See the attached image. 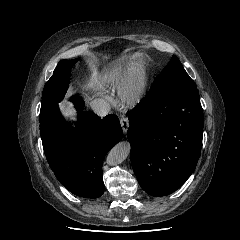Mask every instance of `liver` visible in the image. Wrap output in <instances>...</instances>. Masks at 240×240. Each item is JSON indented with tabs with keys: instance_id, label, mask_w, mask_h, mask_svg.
<instances>
[{
	"instance_id": "liver-1",
	"label": "liver",
	"mask_w": 240,
	"mask_h": 240,
	"mask_svg": "<svg viewBox=\"0 0 240 240\" xmlns=\"http://www.w3.org/2000/svg\"><path fill=\"white\" fill-rule=\"evenodd\" d=\"M60 109L63 111V113L66 115V116H73L74 115V110H73V107L71 104L69 103H62L60 105Z\"/></svg>"
}]
</instances>
